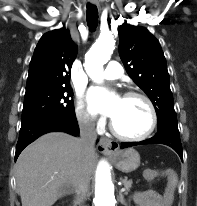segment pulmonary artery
Listing matches in <instances>:
<instances>
[{"label":"pulmonary artery","instance_id":"1","mask_svg":"<svg viewBox=\"0 0 197 206\" xmlns=\"http://www.w3.org/2000/svg\"><path fill=\"white\" fill-rule=\"evenodd\" d=\"M123 74V67L120 63L116 61H110L107 64L106 70L103 73V78L105 79H117Z\"/></svg>","mask_w":197,"mask_h":206}]
</instances>
